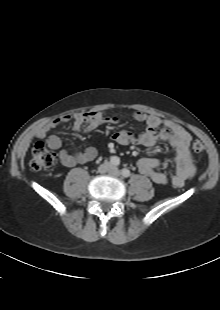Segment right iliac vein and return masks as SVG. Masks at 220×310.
Returning a JSON list of instances; mask_svg holds the SVG:
<instances>
[{
    "label": "right iliac vein",
    "instance_id": "right-iliac-vein-1",
    "mask_svg": "<svg viewBox=\"0 0 220 310\" xmlns=\"http://www.w3.org/2000/svg\"><path fill=\"white\" fill-rule=\"evenodd\" d=\"M110 169H111V165L106 162L99 167L98 171L100 173H106V172H109Z\"/></svg>",
    "mask_w": 220,
    "mask_h": 310
}]
</instances>
